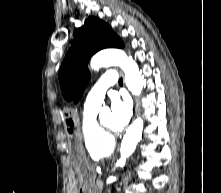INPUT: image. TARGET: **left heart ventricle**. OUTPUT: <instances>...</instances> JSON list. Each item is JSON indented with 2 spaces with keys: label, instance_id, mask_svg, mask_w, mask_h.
<instances>
[{
  "label": "left heart ventricle",
  "instance_id": "left-heart-ventricle-1",
  "mask_svg": "<svg viewBox=\"0 0 221 193\" xmlns=\"http://www.w3.org/2000/svg\"><path fill=\"white\" fill-rule=\"evenodd\" d=\"M102 123L110 128V129H115L114 127V123H113V118L111 114H107L103 119H102Z\"/></svg>",
  "mask_w": 221,
  "mask_h": 193
}]
</instances>
